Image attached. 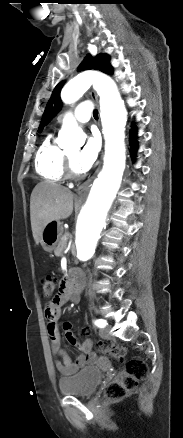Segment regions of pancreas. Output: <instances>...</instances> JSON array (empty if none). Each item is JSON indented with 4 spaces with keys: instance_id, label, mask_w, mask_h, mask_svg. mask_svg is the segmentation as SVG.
I'll return each instance as SVG.
<instances>
[{
    "instance_id": "1",
    "label": "pancreas",
    "mask_w": 183,
    "mask_h": 438,
    "mask_svg": "<svg viewBox=\"0 0 183 438\" xmlns=\"http://www.w3.org/2000/svg\"><path fill=\"white\" fill-rule=\"evenodd\" d=\"M66 246H67V234H64L60 238V240H59V242L57 244V247L54 250L55 255L58 256V257L63 256V251L66 248Z\"/></svg>"
}]
</instances>
